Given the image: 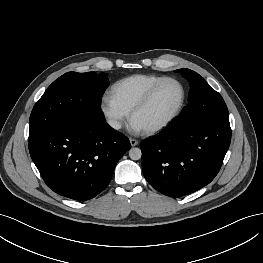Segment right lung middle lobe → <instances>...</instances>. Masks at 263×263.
<instances>
[{"instance_id":"dd1d6c3e","label":"right lung middle lobe","mask_w":263,"mask_h":263,"mask_svg":"<svg viewBox=\"0 0 263 263\" xmlns=\"http://www.w3.org/2000/svg\"><path fill=\"white\" fill-rule=\"evenodd\" d=\"M108 85L105 73L68 72L56 79L32 110L29 138L77 118L103 116L100 99Z\"/></svg>"}]
</instances>
